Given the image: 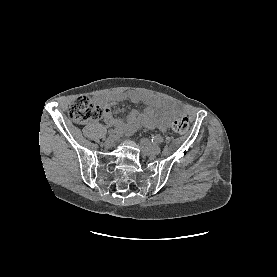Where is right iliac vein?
I'll return each instance as SVG.
<instances>
[{
	"instance_id": "63e3f726",
	"label": "right iliac vein",
	"mask_w": 277,
	"mask_h": 277,
	"mask_svg": "<svg viewBox=\"0 0 277 277\" xmlns=\"http://www.w3.org/2000/svg\"><path fill=\"white\" fill-rule=\"evenodd\" d=\"M115 142H116V135L115 134L109 135V137L104 142V146L107 148L112 147L115 144Z\"/></svg>"
}]
</instances>
